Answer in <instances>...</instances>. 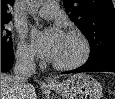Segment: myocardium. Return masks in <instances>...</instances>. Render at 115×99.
<instances>
[{
    "mask_svg": "<svg viewBox=\"0 0 115 99\" xmlns=\"http://www.w3.org/2000/svg\"><path fill=\"white\" fill-rule=\"evenodd\" d=\"M65 35L68 37L76 38L80 42L82 49H81V54L79 55V57L71 62L57 63L53 61L52 62L53 67L58 70H71V69L78 68L82 66L83 64H85L89 60L90 55H91L90 42L88 38L82 32L71 30V31H68Z\"/></svg>",
    "mask_w": 115,
    "mask_h": 99,
    "instance_id": "f54148a6",
    "label": "myocardium"
}]
</instances>
